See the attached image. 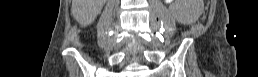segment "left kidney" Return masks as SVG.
Listing matches in <instances>:
<instances>
[{
  "label": "left kidney",
  "instance_id": "5707ae66",
  "mask_svg": "<svg viewBox=\"0 0 258 77\" xmlns=\"http://www.w3.org/2000/svg\"><path fill=\"white\" fill-rule=\"evenodd\" d=\"M172 1V0H169ZM176 6L173 8V14L177 21L180 23L188 24L192 23L195 20V15L193 11L188 6V1L186 0H177Z\"/></svg>",
  "mask_w": 258,
  "mask_h": 77
}]
</instances>
